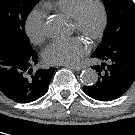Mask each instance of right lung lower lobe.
I'll return each mask as SVG.
<instances>
[{
  "instance_id": "98d812e1",
  "label": "right lung lower lobe",
  "mask_w": 135,
  "mask_h": 135,
  "mask_svg": "<svg viewBox=\"0 0 135 135\" xmlns=\"http://www.w3.org/2000/svg\"><path fill=\"white\" fill-rule=\"evenodd\" d=\"M37 53L27 50L7 34H0V92L18 103H29L46 94L56 68L39 69Z\"/></svg>"
}]
</instances>
